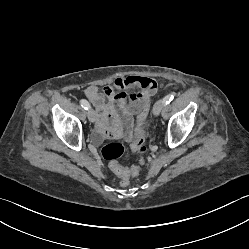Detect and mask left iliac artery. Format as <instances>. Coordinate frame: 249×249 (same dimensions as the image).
<instances>
[{
	"instance_id": "1",
	"label": "left iliac artery",
	"mask_w": 249,
	"mask_h": 249,
	"mask_svg": "<svg viewBox=\"0 0 249 249\" xmlns=\"http://www.w3.org/2000/svg\"><path fill=\"white\" fill-rule=\"evenodd\" d=\"M174 99V94L171 93L169 95H167L163 100L165 105L169 104L172 100Z\"/></svg>"
}]
</instances>
